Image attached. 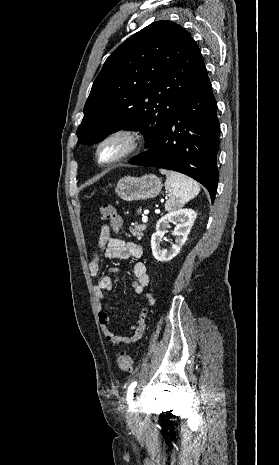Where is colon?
<instances>
[{"instance_id": "obj_1", "label": "colon", "mask_w": 279, "mask_h": 465, "mask_svg": "<svg viewBox=\"0 0 279 465\" xmlns=\"http://www.w3.org/2000/svg\"><path fill=\"white\" fill-rule=\"evenodd\" d=\"M99 215L101 219L110 222L114 231H118L120 229L122 225V218L111 204H102L99 207ZM117 364L120 370L124 372H131L134 369L132 357L124 351H121L117 355Z\"/></svg>"}]
</instances>
